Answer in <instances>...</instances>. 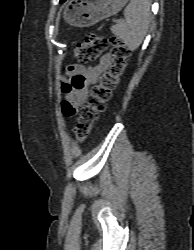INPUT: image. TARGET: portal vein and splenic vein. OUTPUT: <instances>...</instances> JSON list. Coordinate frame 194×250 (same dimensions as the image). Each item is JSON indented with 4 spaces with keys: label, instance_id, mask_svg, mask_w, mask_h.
<instances>
[{
    "label": "portal vein and splenic vein",
    "instance_id": "portal-vein-and-splenic-vein-1",
    "mask_svg": "<svg viewBox=\"0 0 194 250\" xmlns=\"http://www.w3.org/2000/svg\"><path fill=\"white\" fill-rule=\"evenodd\" d=\"M123 22V20H116V23L117 24H120V23H122Z\"/></svg>",
    "mask_w": 194,
    "mask_h": 250
}]
</instances>
